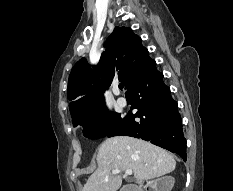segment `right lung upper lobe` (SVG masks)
<instances>
[{
	"instance_id": "right-lung-upper-lobe-1",
	"label": "right lung upper lobe",
	"mask_w": 233,
	"mask_h": 191,
	"mask_svg": "<svg viewBox=\"0 0 233 191\" xmlns=\"http://www.w3.org/2000/svg\"><path fill=\"white\" fill-rule=\"evenodd\" d=\"M106 48L94 69L82 58L70 73L67 96L74 100L69 105L72 117L104 104L103 92L113 79L119 78L128 89L149 58L141 38L127 27H115Z\"/></svg>"
}]
</instances>
